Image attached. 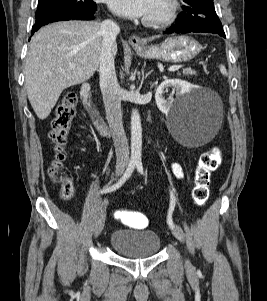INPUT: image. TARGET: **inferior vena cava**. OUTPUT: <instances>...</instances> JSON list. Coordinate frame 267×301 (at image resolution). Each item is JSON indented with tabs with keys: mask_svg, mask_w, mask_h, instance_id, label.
<instances>
[{
	"mask_svg": "<svg viewBox=\"0 0 267 301\" xmlns=\"http://www.w3.org/2000/svg\"><path fill=\"white\" fill-rule=\"evenodd\" d=\"M120 27L111 20L100 24L99 33L102 36L99 75L100 88L106 110V118L110 127L115 146L117 163L127 164L129 161V146L123 128L121 114V89L117 81L112 47Z\"/></svg>",
	"mask_w": 267,
	"mask_h": 301,
	"instance_id": "1",
	"label": "inferior vena cava"
}]
</instances>
